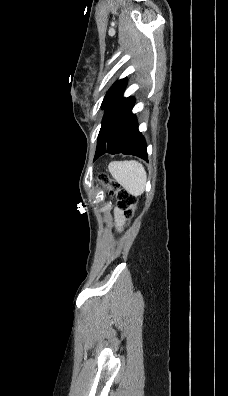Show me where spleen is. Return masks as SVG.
<instances>
[{"mask_svg": "<svg viewBox=\"0 0 228 396\" xmlns=\"http://www.w3.org/2000/svg\"><path fill=\"white\" fill-rule=\"evenodd\" d=\"M108 169L115 180L133 196H140L146 186L147 175L137 161L111 162Z\"/></svg>", "mask_w": 228, "mask_h": 396, "instance_id": "3e777b00", "label": "spleen"}]
</instances>
